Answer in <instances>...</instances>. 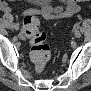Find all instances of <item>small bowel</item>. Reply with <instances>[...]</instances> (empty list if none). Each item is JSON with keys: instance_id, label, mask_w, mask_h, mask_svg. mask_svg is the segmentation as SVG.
Returning <instances> with one entry per match:
<instances>
[{"instance_id": "c3829d8e", "label": "small bowel", "mask_w": 91, "mask_h": 91, "mask_svg": "<svg viewBox=\"0 0 91 91\" xmlns=\"http://www.w3.org/2000/svg\"><path fill=\"white\" fill-rule=\"evenodd\" d=\"M34 8L25 11V14H41L44 17H69L76 14L80 7L74 0H69L63 3L61 7L53 8L52 3L48 0H36L34 1ZM1 9L5 12H10V8L6 2L1 4Z\"/></svg>"}]
</instances>
